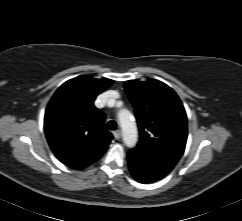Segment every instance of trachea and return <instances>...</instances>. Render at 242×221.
Here are the masks:
<instances>
[{
    "mask_svg": "<svg viewBox=\"0 0 242 221\" xmlns=\"http://www.w3.org/2000/svg\"><path fill=\"white\" fill-rule=\"evenodd\" d=\"M106 128H107L108 130H116V128H117V123H116L115 121L111 120V121H109V122L107 123Z\"/></svg>",
    "mask_w": 242,
    "mask_h": 221,
    "instance_id": "obj_1",
    "label": "trachea"
}]
</instances>
